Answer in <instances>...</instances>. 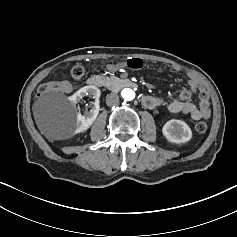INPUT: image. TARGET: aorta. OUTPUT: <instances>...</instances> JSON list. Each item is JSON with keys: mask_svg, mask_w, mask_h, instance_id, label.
<instances>
[{"mask_svg": "<svg viewBox=\"0 0 237 237\" xmlns=\"http://www.w3.org/2000/svg\"><path fill=\"white\" fill-rule=\"evenodd\" d=\"M121 96L126 100V101H131L135 98V92L131 88H124L121 91Z\"/></svg>", "mask_w": 237, "mask_h": 237, "instance_id": "obj_1", "label": "aorta"}]
</instances>
